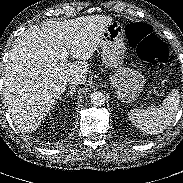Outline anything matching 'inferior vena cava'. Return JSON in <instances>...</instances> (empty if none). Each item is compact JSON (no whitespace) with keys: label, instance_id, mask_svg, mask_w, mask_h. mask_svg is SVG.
<instances>
[{"label":"inferior vena cava","instance_id":"obj_1","mask_svg":"<svg viewBox=\"0 0 183 183\" xmlns=\"http://www.w3.org/2000/svg\"><path fill=\"white\" fill-rule=\"evenodd\" d=\"M67 82L70 84L78 85L82 84L83 80L79 74H72L68 77Z\"/></svg>","mask_w":183,"mask_h":183}]
</instances>
